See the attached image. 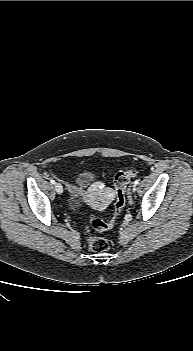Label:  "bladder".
<instances>
[{"label":"bladder","instance_id":"obj_1","mask_svg":"<svg viewBox=\"0 0 193 351\" xmlns=\"http://www.w3.org/2000/svg\"><path fill=\"white\" fill-rule=\"evenodd\" d=\"M94 181V177L90 172H80L75 178V190L68 197L69 208L73 211H77L85 205V201L82 199V193L87 189Z\"/></svg>","mask_w":193,"mask_h":351}]
</instances>
